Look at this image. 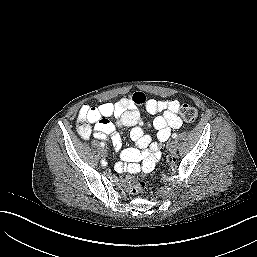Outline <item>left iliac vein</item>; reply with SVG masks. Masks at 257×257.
Here are the masks:
<instances>
[{"mask_svg": "<svg viewBox=\"0 0 257 257\" xmlns=\"http://www.w3.org/2000/svg\"><path fill=\"white\" fill-rule=\"evenodd\" d=\"M167 148H168V151H169L170 153H175V152H176V142H175V141H171V142L168 144Z\"/></svg>", "mask_w": 257, "mask_h": 257, "instance_id": "1", "label": "left iliac vein"}]
</instances>
